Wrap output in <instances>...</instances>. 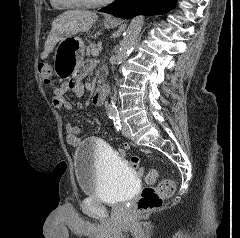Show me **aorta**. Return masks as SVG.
Masks as SVG:
<instances>
[{
	"label": "aorta",
	"mask_w": 240,
	"mask_h": 238,
	"mask_svg": "<svg viewBox=\"0 0 240 238\" xmlns=\"http://www.w3.org/2000/svg\"><path fill=\"white\" fill-rule=\"evenodd\" d=\"M143 24L144 16H137L131 20V23L128 26L120 44L119 51L115 57L116 63H122L132 52ZM107 113L111 116H115L118 113L114 102H111L107 105Z\"/></svg>",
	"instance_id": "1"
}]
</instances>
